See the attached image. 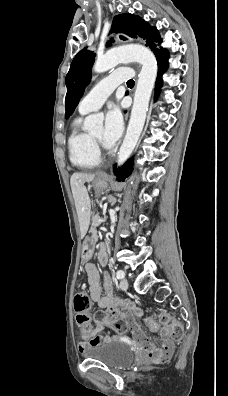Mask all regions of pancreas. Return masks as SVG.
<instances>
[{
    "mask_svg": "<svg viewBox=\"0 0 228 396\" xmlns=\"http://www.w3.org/2000/svg\"><path fill=\"white\" fill-rule=\"evenodd\" d=\"M104 219H107V216L94 215V216L91 217V220L94 221L93 224H92L91 233L93 234V236H96V238H95L96 240L98 239L97 238L98 235H97L96 227L98 225L102 226V224L105 223Z\"/></svg>",
    "mask_w": 228,
    "mask_h": 396,
    "instance_id": "obj_1",
    "label": "pancreas"
}]
</instances>
